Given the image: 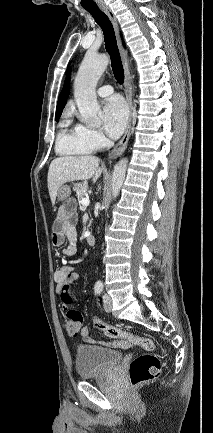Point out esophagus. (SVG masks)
<instances>
[{"label": "esophagus", "mask_w": 213, "mask_h": 433, "mask_svg": "<svg viewBox=\"0 0 213 433\" xmlns=\"http://www.w3.org/2000/svg\"><path fill=\"white\" fill-rule=\"evenodd\" d=\"M100 8L105 12V14L109 17L111 20L117 37L118 47L120 51V55L123 62L124 67V75H125V81H124V91L126 95V100L128 102L129 106V117H128V123L126 131L122 137V139L117 143V145L114 147V149L109 154V159H115L118 156H120L126 149L130 135H131V127H132V115H133V103H132V87H131V79H130V72L128 68V62H127V52L123 47L120 34H119V25L117 18L113 11L105 4L100 5Z\"/></svg>", "instance_id": "34e87169"}]
</instances>
